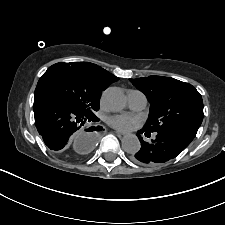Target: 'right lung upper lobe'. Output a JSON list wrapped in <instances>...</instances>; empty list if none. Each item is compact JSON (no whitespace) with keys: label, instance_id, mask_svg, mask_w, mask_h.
<instances>
[{"label":"right lung upper lobe","instance_id":"1","mask_svg":"<svg viewBox=\"0 0 225 225\" xmlns=\"http://www.w3.org/2000/svg\"><path fill=\"white\" fill-rule=\"evenodd\" d=\"M73 65L82 69L92 80V82L100 89L105 90L110 84L118 81V77L114 76L105 69L88 62H71Z\"/></svg>","mask_w":225,"mask_h":225}]
</instances>
